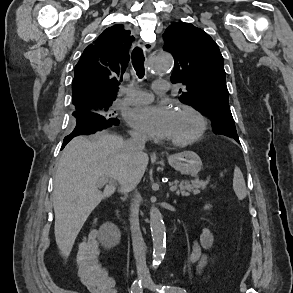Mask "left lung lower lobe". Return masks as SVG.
Masks as SVG:
<instances>
[{"label": "left lung lower lobe", "mask_w": 293, "mask_h": 293, "mask_svg": "<svg viewBox=\"0 0 293 293\" xmlns=\"http://www.w3.org/2000/svg\"><path fill=\"white\" fill-rule=\"evenodd\" d=\"M234 139H235L236 141H238V142H239V139H238V137H235Z\"/></svg>", "instance_id": "1"}]
</instances>
